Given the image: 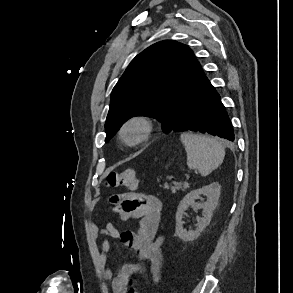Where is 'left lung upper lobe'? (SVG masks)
<instances>
[{
    "label": "left lung upper lobe",
    "instance_id": "obj_1",
    "mask_svg": "<svg viewBox=\"0 0 293 293\" xmlns=\"http://www.w3.org/2000/svg\"><path fill=\"white\" fill-rule=\"evenodd\" d=\"M209 84L188 46L173 40L151 45L131 61L113 88L105 141L134 116L156 118L165 133L172 131L186 105Z\"/></svg>",
    "mask_w": 293,
    "mask_h": 293
}]
</instances>
